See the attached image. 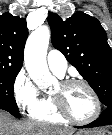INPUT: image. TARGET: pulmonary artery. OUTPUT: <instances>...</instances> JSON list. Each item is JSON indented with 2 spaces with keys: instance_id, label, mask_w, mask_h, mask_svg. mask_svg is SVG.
<instances>
[{
  "instance_id": "obj_1",
  "label": "pulmonary artery",
  "mask_w": 112,
  "mask_h": 135,
  "mask_svg": "<svg viewBox=\"0 0 112 135\" xmlns=\"http://www.w3.org/2000/svg\"><path fill=\"white\" fill-rule=\"evenodd\" d=\"M47 63L54 74L59 77L64 76L67 69V61L60 51L55 49L50 50L47 55Z\"/></svg>"
}]
</instances>
